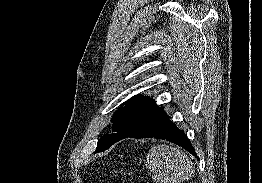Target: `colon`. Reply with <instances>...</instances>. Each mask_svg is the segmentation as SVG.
Instances as JSON below:
<instances>
[{
	"label": "colon",
	"mask_w": 262,
	"mask_h": 183,
	"mask_svg": "<svg viewBox=\"0 0 262 183\" xmlns=\"http://www.w3.org/2000/svg\"><path fill=\"white\" fill-rule=\"evenodd\" d=\"M141 183H147V182H145V181H142Z\"/></svg>",
	"instance_id": "5ec220e1"
}]
</instances>
